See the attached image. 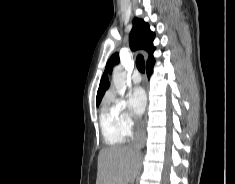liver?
Listing matches in <instances>:
<instances>
[{"instance_id":"6515ba94","label":"liver","mask_w":235,"mask_h":184,"mask_svg":"<svg viewBox=\"0 0 235 184\" xmlns=\"http://www.w3.org/2000/svg\"><path fill=\"white\" fill-rule=\"evenodd\" d=\"M139 166V158L131 146H111L103 148L98 156L96 184H129L134 182Z\"/></svg>"}]
</instances>
